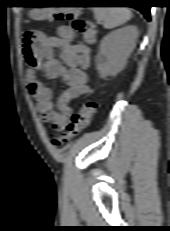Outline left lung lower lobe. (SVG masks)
<instances>
[{"label":"left lung lower lobe","mask_w":170,"mask_h":231,"mask_svg":"<svg viewBox=\"0 0 170 231\" xmlns=\"http://www.w3.org/2000/svg\"><path fill=\"white\" fill-rule=\"evenodd\" d=\"M128 3L130 4H134V7L137 10H139L144 16L145 18L150 21V6L147 5L148 1L147 0H131Z\"/></svg>","instance_id":"obj_1"}]
</instances>
